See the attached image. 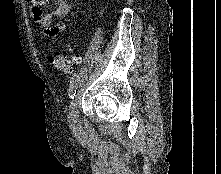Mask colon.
<instances>
[{
	"instance_id": "1",
	"label": "colon",
	"mask_w": 221,
	"mask_h": 174,
	"mask_svg": "<svg viewBox=\"0 0 221 174\" xmlns=\"http://www.w3.org/2000/svg\"><path fill=\"white\" fill-rule=\"evenodd\" d=\"M50 64L57 70L71 72L75 65L79 64L80 59L77 56H68L66 54H53L49 57Z\"/></svg>"
}]
</instances>
